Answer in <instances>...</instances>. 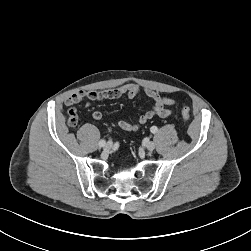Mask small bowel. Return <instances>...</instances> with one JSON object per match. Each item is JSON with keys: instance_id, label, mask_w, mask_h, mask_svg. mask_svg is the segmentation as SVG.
<instances>
[{"instance_id": "small-bowel-1", "label": "small bowel", "mask_w": 251, "mask_h": 251, "mask_svg": "<svg viewBox=\"0 0 251 251\" xmlns=\"http://www.w3.org/2000/svg\"><path fill=\"white\" fill-rule=\"evenodd\" d=\"M139 94H144L146 97H148L152 101V107L144 114H142L135 123H130L125 120L118 121V126L121 129L125 131H137L155 116L167 117L171 114V108L175 103L173 99L165 97L150 88L140 87L135 83H126L112 89H105L100 91L78 90L66 98L65 104L68 107H72L86 100V106L89 107L91 103L95 101L118 99L123 96L134 98ZM92 117L95 120H101V111L94 109L92 111Z\"/></svg>"}]
</instances>
